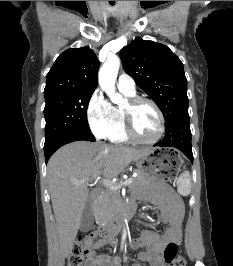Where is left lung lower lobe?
Returning <instances> with one entry per match:
<instances>
[{
  "instance_id": "obj_1",
  "label": "left lung lower lobe",
  "mask_w": 233,
  "mask_h": 266,
  "mask_svg": "<svg viewBox=\"0 0 233 266\" xmlns=\"http://www.w3.org/2000/svg\"><path fill=\"white\" fill-rule=\"evenodd\" d=\"M165 137L155 146L175 147L182 151L193 163L191 131L188 110L179 113L168 126H165Z\"/></svg>"
}]
</instances>
